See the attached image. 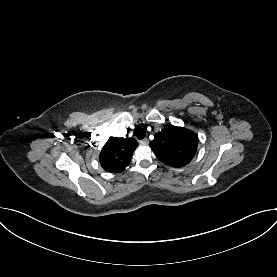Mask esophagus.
I'll return each mask as SVG.
<instances>
[{"mask_svg":"<svg viewBox=\"0 0 277 277\" xmlns=\"http://www.w3.org/2000/svg\"><path fill=\"white\" fill-rule=\"evenodd\" d=\"M141 145H148L149 144V140L147 138L142 139L139 141Z\"/></svg>","mask_w":277,"mask_h":277,"instance_id":"1","label":"esophagus"}]
</instances>
